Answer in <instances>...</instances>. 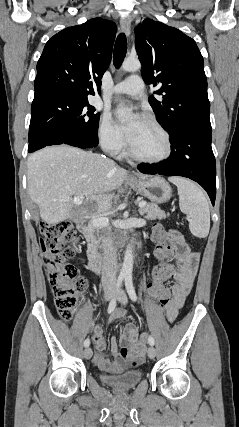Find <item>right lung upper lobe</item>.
Returning a JSON list of instances; mask_svg holds the SVG:
<instances>
[{"label":"right lung upper lobe","mask_w":239,"mask_h":427,"mask_svg":"<svg viewBox=\"0 0 239 427\" xmlns=\"http://www.w3.org/2000/svg\"><path fill=\"white\" fill-rule=\"evenodd\" d=\"M116 32L114 22L94 18L49 39L37 63L34 99H87L89 94H100V79L111 62Z\"/></svg>","instance_id":"cb5924a9"}]
</instances>
